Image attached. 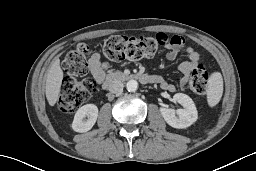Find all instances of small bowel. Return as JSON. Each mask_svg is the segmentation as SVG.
Wrapping results in <instances>:
<instances>
[{
	"mask_svg": "<svg viewBox=\"0 0 256 171\" xmlns=\"http://www.w3.org/2000/svg\"><path fill=\"white\" fill-rule=\"evenodd\" d=\"M181 50L185 51L188 59L179 64V70L187 76L198 65L200 55L192 47H185V40L181 36H173L167 44L166 59L169 61L175 60ZM88 65L94 80L97 83H101L105 78L109 64L102 61L99 52H95L90 56ZM152 78L155 83H158L165 90L173 91L175 89L173 84L166 81L161 76H153ZM184 83L185 80L182 81V85Z\"/></svg>",
	"mask_w": 256,
	"mask_h": 171,
	"instance_id": "1",
	"label": "small bowel"
}]
</instances>
